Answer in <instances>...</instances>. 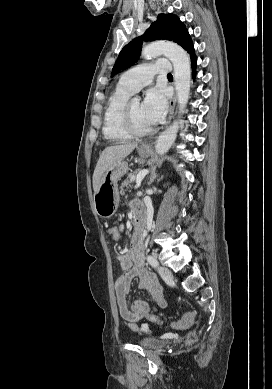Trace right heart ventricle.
<instances>
[{"instance_id":"right-heart-ventricle-1","label":"right heart ventricle","mask_w":272,"mask_h":389,"mask_svg":"<svg viewBox=\"0 0 272 389\" xmlns=\"http://www.w3.org/2000/svg\"><path fill=\"white\" fill-rule=\"evenodd\" d=\"M133 92L118 83L114 92L110 95L104 113L103 134L110 141H125L131 135L122 124V112Z\"/></svg>"}]
</instances>
